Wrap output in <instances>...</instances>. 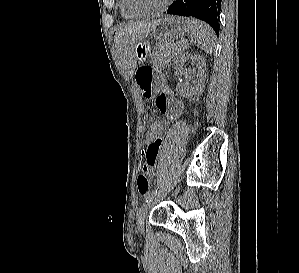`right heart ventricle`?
Wrapping results in <instances>:
<instances>
[{
  "mask_svg": "<svg viewBox=\"0 0 299 273\" xmlns=\"http://www.w3.org/2000/svg\"><path fill=\"white\" fill-rule=\"evenodd\" d=\"M119 8H120V14L124 19L135 20L138 18V16H135L126 10L123 0L119 1Z\"/></svg>",
  "mask_w": 299,
  "mask_h": 273,
  "instance_id": "e07e8e85",
  "label": "right heart ventricle"
}]
</instances>
